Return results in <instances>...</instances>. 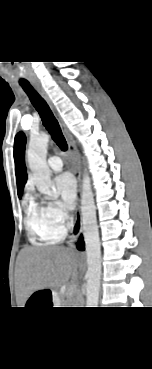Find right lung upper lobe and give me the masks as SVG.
<instances>
[{
    "mask_svg": "<svg viewBox=\"0 0 152 369\" xmlns=\"http://www.w3.org/2000/svg\"><path fill=\"white\" fill-rule=\"evenodd\" d=\"M26 137L24 133L20 132L15 137L14 143V160H15V171L17 181V192L21 197L24 185L27 180L26 167L24 163V151H25Z\"/></svg>",
    "mask_w": 152,
    "mask_h": 369,
    "instance_id": "obj_1",
    "label": "right lung upper lobe"
}]
</instances>
